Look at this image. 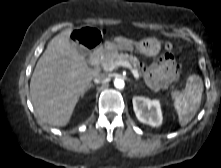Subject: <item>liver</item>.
<instances>
[{"label":"liver","instance_id":"6515ba94","mask_svg":"<svg viewBox=\"0 0 221 168\" xmlns=\"http://www.w3.org/2000/svg\"><path fill=\"white\" fill-rule=\"evenodd\" d=\"M71 32V29L65 30L48 43L30 81V96L36 113L42 121L57 127L69 123L79 98L98 74L71 44ZM114 43L135 44L121 36L114 38Z\"/></svg>","mask_w":221,"mask_h":168}]
</instances>
